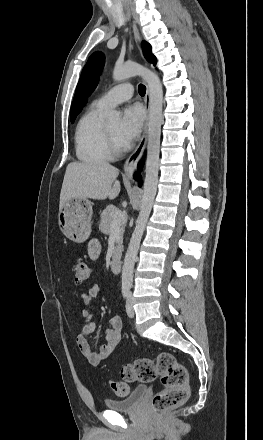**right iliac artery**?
I'll return each mask as SVG.
<instances>
[{
	"label": "right iliac artery",
	"mask_w": 263,
	"mask_h": 440,
	"mask_svg": "<svg viewBox=\"0 0 263 440\" xmlns=\"http://www.w3.org/2000/svg\"><path fill=\"white\" fill-rule=\"evenodd\" d=\"M128 292H129L128 288H123L122 289V295H123L124 299H126L128 297Z\"/></svg>",
	"instance_id": "obj_1"
}]
</instances>
